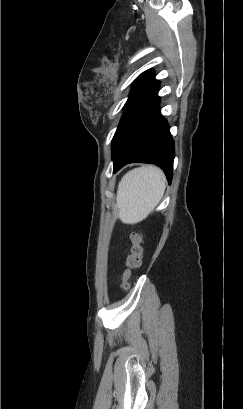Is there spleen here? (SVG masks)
Returning a JSON list of instances; mask_svg holds the SVG:
<instances>
[{"label": "spleen", "instance_id": "1", "mask_svg": "<svg viewBox=\"0 0 243 409\" xmlns=\"http://www.w3.org/2000/svg\"><path fill=\"white\" fill-rule=\"evenodd\" d=\"M165 192V175L157 167L146 165L127 172L117 190V208L122 222L134 224L145 219Z\"/></svg>", "mask_w": 243, "mask_h": 409}]
</instances>
